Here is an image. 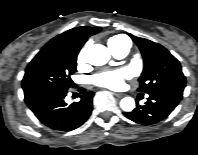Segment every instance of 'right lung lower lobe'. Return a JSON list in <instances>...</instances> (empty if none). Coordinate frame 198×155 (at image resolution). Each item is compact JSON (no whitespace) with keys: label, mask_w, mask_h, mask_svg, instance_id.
Wrapping results in <instances>:
<instances>
[{"label":"right lung lower lobe","mask_w":198,"mask_h":155,"mask_svg":"<svg viewBox=\"0 0 198 155\" xmlns=\"http://www.w3.org/2000/svg\"><path fill=\"white\" fill-rule=\"evenodd\" d=\"M84 92V89H80ZM67 90L39 87L24 90L25 102L35 116L46 126L58 131H71L87 121L92 112L94 92H86L79 102L68 105Z\"/></svg>","instance_id":"right-lung-lower-lobe-1"}]
</instances>
